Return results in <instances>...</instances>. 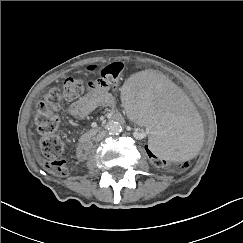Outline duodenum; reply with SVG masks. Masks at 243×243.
<instances>
[{
    "mask_svg": "<svg viewBox=\"0 0 243 243\" xmlns=\"http://www.w3.org/2000/svg\"><path fill=\"white\" fill-rule=\"evenodd\" d=\"M122 116L119 115V114H115L111 117V120L113 121H122ZM88 149H89V146L87 143L83 142V143H80L77 147V155L80 157V158H85L86 155H87V152H88Z\"/></svg>",
    "mask_w": 243,
    "mask_h": 243,
    "instance_id": "duodenum-1",
    "label": "duodenum"
}]
</instances>
